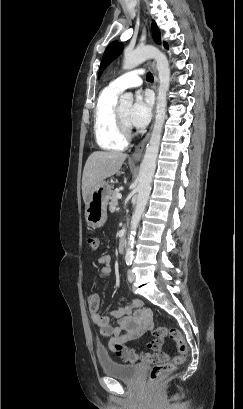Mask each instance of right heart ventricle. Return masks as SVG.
<instances>
[{"label":"right heart ventricle","mask_w":243,"mask_h":409,"mask_svg":"<svg viewBox=\"0 0 243 409\" xmlns=\"http://www.w3.org/2000/svg\"><path fill=\"white\" fill-rule=\"evenodd\" d=\"M120 92L107 86L97 100L94 113V135L97 144L104 150H123L126 138L120 133L115 119L117 97Z\"/></svg>","instance_id":"obj_1"}]
</instances>
